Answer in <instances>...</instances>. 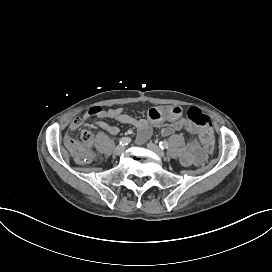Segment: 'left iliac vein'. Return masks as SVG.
I'll use <instances>...</instances> for the list:
<instances>
[{
    "instance_id": "4c4485c4",
    "label": "left iliac vein",
    "mask_w": 272,
    "mask_h": 272,
    "mask_svg": "<svg viewBox=\"0 0 272 272\" xmlns=\"http://www.w3.org/2000/svg\"><path fill=\"white\" fill-rule=\"evenodd\" d=\"M147 147L149 150L153 151L157 156L164 157L165 153L154 143H148Z\"/></svg>"
}]
</instances>
